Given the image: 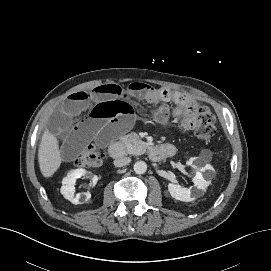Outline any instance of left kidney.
<instances>
[{"label": "left kidney", "mask_w": 271, "mask_h": 271, "mask_svg": "<svg viewBox=\"0 0 271 271\" xmlns=\"http://www.w3.org/2000/svg\"><path fill=\"white\" fill-rule=\"evenodd\" d=\"M194 160L195 158H191L188 161V165L193 166ZM213 170H214L213 167L209 164L198 169L196 175L192 179L194 186L197 189L205 190L210 185L211 181L206 180L203 176V173L206 172V176L210 178L211 175L213 174ZM168 190L170 192V195L176 200L183 201V202H188L192 200L191 188H185V187H181L179 184L169 183Z\"/></svg>", "instance_id": "obj_1"}]
</instances>
